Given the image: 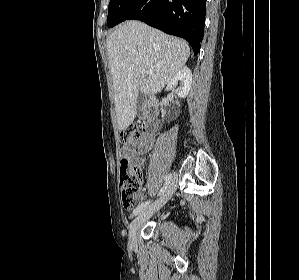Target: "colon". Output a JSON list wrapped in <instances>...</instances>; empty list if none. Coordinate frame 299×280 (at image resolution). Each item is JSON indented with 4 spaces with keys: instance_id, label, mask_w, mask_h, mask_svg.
<instances>
[{
    "instance_id": "colon-1",
    "label": "colon",
    "mask_w": 299,
    "mask_h": 280,
    "mask_svg": "<svg viewBox=\"0 0 299 280\" xmlns=\"http://www.w3.org/2000/svg\"><path fill=\"white\" fill-rule=\"evenodd\" d=\"M120 139L123 147L137 144L141 140L140 129L130 125L121 130ZM120 186L122 204L125 209H133L139 201L142 186L141 165L122 156L120 161Z\"/></svg>"
}]
</instances>
